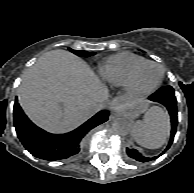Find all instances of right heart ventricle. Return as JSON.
<instances>
[{
	"label": "right heart ventricle",
	"mask_w": 194,
	"mask_h": 193,
	"mask_svg": "<svg viewBox=\"0 0 194 193\" xmlns=\"http://www.w3.org/2000/svg\"><path fill=\"white\" fill-rule=\"evenodd\" d=\"M146 59L133 53L121 52L107 57L99 66L101 78L113 86H126L133 69Z\"/></svg>",
	"instance_id": "e07e8e85"
}]
</instances>
